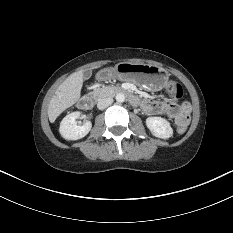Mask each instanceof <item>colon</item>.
Here are the masks:
<instances>
[{"label":"colon","mask_w":233,"mask_h":233,"mask_svg":"<svg viewBox=\"0 0 233 233\" xmlns=\"http://www.w3.org/2000/svg\"><path fill=\"white\" fill-rule=\"evenodd\" d=\"M168 95L173 99V100H178L182 97L183 95V88L181 84L175 80H171L168 82L167 87H166ZM187 126H181L178 127V132L179 133H184L186 130Z\"/></svg>","instance_id":"colon-1"}]
</instances>
